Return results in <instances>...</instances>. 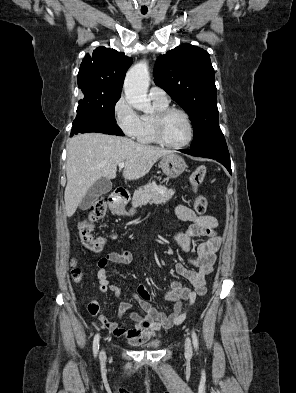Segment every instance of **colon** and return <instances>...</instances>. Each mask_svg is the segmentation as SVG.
Returning a JSON list of instances; mask_svg holds the SVG:
<instances>
[{
    "label": "colon",
    "mask_w": 296,
    "mask_h": 393,
    "mask_svg": "<svg viewBox=\"0 0 296 393\" xmlns=\"http://www.w3.org/2000/svg\"><path fill=\"white\" fill-rule=\"evenodd\" d=\"M205 172V167L200 166L191 174L190 183L193 191H196L198 187L202 184L205 177ZM207 205V199L204 196L196 195L194 197L193 209L197 214L205 213L207 210ZM106 208L107 203L104 198L97 200L93 204L87 219L81 222L79 227V234L83 245L94 252L101 251L107 243L105 237L95 236L93 234V223L104 216ZM73 274L76 279L79 278L78 269H74Z\"/></svg>",
    "instance_id": "1"
}]
</instances>
